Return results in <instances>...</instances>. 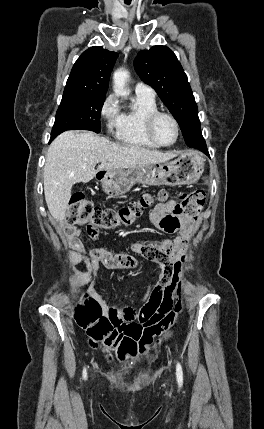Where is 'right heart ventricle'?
<instances>
[{
	"label": "right heart ventricle",
	"mask_w": 264,
	"mask_h": 429,
	"mask_svg": "<svg viewBox=\"0 0 264 429\" xmlns=\"http://www.w3.org/2000/svg\"><path fill=\"white\" fill-rule=\"evenodd\" d=\"M156 110H158V106L154 96L136 94L133 107L119 114L114 130L115 138L130 146L148 149L158 148L145 132L146 118Z\"/></svg>",
	"instance_id": "1"
}]
</instances>
